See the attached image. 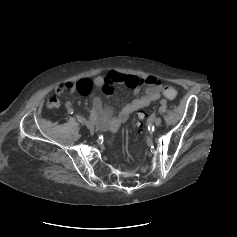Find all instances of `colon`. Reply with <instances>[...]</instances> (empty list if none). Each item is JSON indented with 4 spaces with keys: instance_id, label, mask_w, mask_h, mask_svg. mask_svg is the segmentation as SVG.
Here are the masks:
<instances>
[{
    "instance_id": "colon-1",
    "label": "colon",
    "mask_w": 237,
    "mask_h": 237,
    "mask_svg": "<svg viewBox=\"0 0 237 237\" xmlns=\"http://www.w3.org/2000/svg\"><path fill=\"white\" fill-rule=\"evenodd\" d=\"M163 94L166 98L172 100V99H175V97L177 96V91L172 86H165L164 89H163ZM48 106H49V108H56L58 106L57 99L56 98H50L49 101H48ZM144 118H145V114L143 112L138 114L139 124L142 123Z\"/></svg>"
}]
</instances>
